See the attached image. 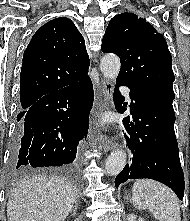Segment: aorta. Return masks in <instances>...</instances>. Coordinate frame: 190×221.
I'll use <instances>...</instances> for the list:
<instances>
[{"label": "aorta", "mask_w": 190, "mask_h": 221, "mask_svg": "<svg viewBox=\"0 0 190 221\" xmlns=\"http://www.w3.org/2000/svg\"><path fill=\"white\" fill-rule=\"evenodd\" d=\"M120 59L114 54L104 55L100 62V70L104 77L116 79L120 71ZM126 164V153L122 150L113 152L106 160L105 168L108 174H119Z\"/></svg>", "instance_id": "aorta-1"}]
</instances>
